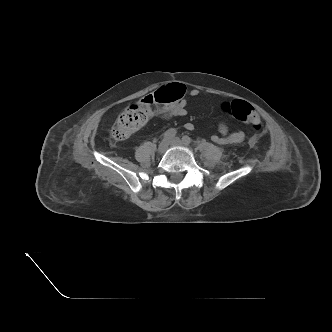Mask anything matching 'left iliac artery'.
Returning <instances> with one entry per match:
<instances>
[{
  "mask_svg": "<svg viewBox=\"0 0 332 332\" xmlns=\"http://www.w3.org/2000/svg\"><path fill=\"white\" fill-rule=\"evenodd\" d=\"M182 141L186 144L189 145L191 143V138L189 136H183Z\"/></svg>",
  "mask_w": 332,
  "mask_h": 332,
  "instance_id": "1",
  "label": "left iliac artery"
}]
</instances>
